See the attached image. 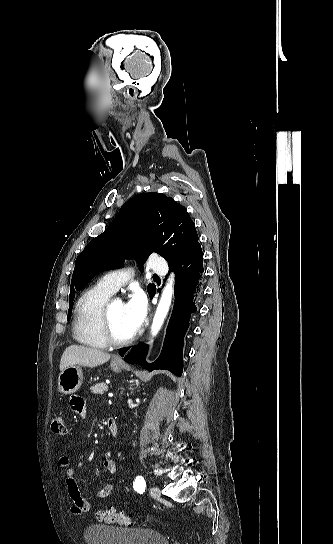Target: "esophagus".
I'll use <instances>...</instances> for the list:
<instances>
[{
    "label": "esophagus",
    "instance_id": "esophagus-1",
    "mask_svg": "<svg viewBox=\"0 0 333 544\" xmlns=\"http://www.w3.org/2000/svg\"><path fill=\"white\" fill-rule=\"evenodd\" d=\"M114 360H115V361H118V362H121V361H122L121 358H119L118 356L114 357Z\"/></svg>",
    "mask_w": 333,
    "mask_h": 544
}]
</instances>
